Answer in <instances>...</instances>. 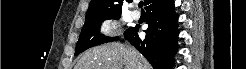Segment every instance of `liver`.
<instances>
[{"label":"liver","mask_w":246,"mask_h":69,"mask_svg":"<svg viewBox=\"0 0 246 69\" xmlns=\"http://www.w3.org/2000/svg\"><path fill=\"white\" fill-rule=\"evenodd\" d=\"M75 67V69H151L148 61L133 47L116 42L89 49L81 56Z\"/></svg>","instance_id":"1"}]
</instances>
